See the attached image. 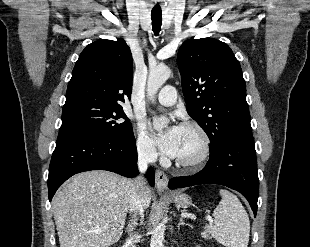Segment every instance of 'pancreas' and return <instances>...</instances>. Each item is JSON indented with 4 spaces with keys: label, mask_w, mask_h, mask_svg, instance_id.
Listing matches in <instances>:
<instances>
[{
    "label": "pancreas",
    "mask_w": 310,
    "mask_h": 247,
    "mask_svg": "<svg viewBox=\"0 0 310 247\" xmlns=\"http://www.w3.org/2000/svg\"><path fill=\"white\" fill-rule=\"evenodd\" d=\"M205 239H210V236L208 233L204 232L202 235Z\"/></svg>",
    "instance_id": "1"
}]
</instances>
